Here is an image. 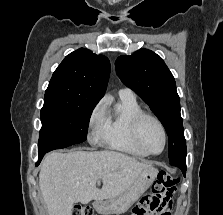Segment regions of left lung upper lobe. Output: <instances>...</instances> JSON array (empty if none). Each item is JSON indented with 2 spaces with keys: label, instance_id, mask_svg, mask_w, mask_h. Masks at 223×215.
<instances>
[{
  "label": "left lung upper lobe",
  "instance_id": "5c2ea615",
  "mask_svg": "<svg viewBox=\"0 0 223 215\" xmlns=\"http://www.w3.org/2000/svg\"><path fill=\"white\" fill-rule=\"evenodd\" d=\"M121 81L135 91L163 124L169 137L170 164H186V141L180 115V98L172 73L160 56L140 49L116 60Z\"/></svg>",
  "mask_w": 223,
  "mask_h": 215
}]
</instances>
